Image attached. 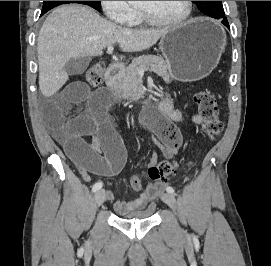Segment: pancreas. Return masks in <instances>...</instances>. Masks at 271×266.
<instances>
[{
  "label": "pancreas",
  "mask_w": 271,
  "mask_h": 266,
  "mask_svg": "<svg viewBox=\"0 0 271 266\" xmlns=\"http://www.w3.org/2000/svg\"><path fill=\"white\" fill-rule=\"evenodd\" d=\"M139 70L152 71L166 78L169 76L170 66L162 57L155 55H143L132 60L126 67L121 82V90L128 98H138L145 91Z\"/></svg>",
  "instance_id": "1"
}]
</instances>
